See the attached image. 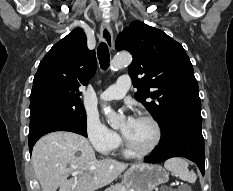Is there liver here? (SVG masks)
<instances>
[{"mask_svg": "<svg viewBox=\"0 0 233 191\" xmlns=\"http://www.w3.org/2000/svg\"><path fill=\"white\" fill-rule=\"evenodd\" d=\"M31 162L42 191H95L111 184L128 167L114 160H97L86 138L67 131L38 140ZM76 171L80 173L68 180Z\"/></svg>", "mask_w": 233, "mask_h": 191, "instance_id": "6515ba94", "label": "liver"}]
</instances>
